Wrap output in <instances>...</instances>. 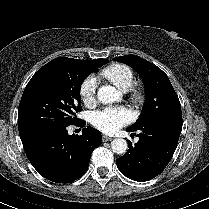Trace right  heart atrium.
<instances>
[{
	"label": "right heart atrium",
	"mask_w": 209,
	"mask_h": 209,
	"mask_svg": "<svg viewBox=\"0 0 209 209\" xmlns=\"http://www.w3.org/2000/svg\"><path fill=\"white\" fill-rule=\"evenodd\" d=\"M98 86V79L91 75L88 76L80 86V97L84 104L89 105L95 99V94Z\"/></svg>",
	"instance_id": "d8ad5b80"
}]
</instances>
